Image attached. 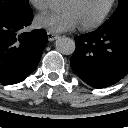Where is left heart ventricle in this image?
<instances>
[{
    "instance_id": "obj_1",
    "label": "left heart ventricle",
    "mask_w": 128,
    "mask_h": 128,
    "mask_svg": "<svg viewBox=\"0 0 128 128\" xmlns=\"http://www.w3.org/2000/svg\"><path fill=\"white\" fill-rule=\"evenodd\" d=\"M110 0H64L62 10L71 11L79 24L95 21L105 10Z\"/></svg>"
}]
</instances>
